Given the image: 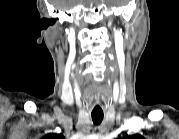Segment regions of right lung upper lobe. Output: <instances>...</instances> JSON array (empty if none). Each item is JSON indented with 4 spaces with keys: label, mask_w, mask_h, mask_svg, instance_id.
<instances>
[{
    "label": "right lung upper lobe",
    "mask_w": 179,
    "mask_h": 139,
    "mask_svg": "<svg viewBox=\"0 0 179 139\" xmlns=\"http://www.w3.org/2000/svg\"><path fill=\"white\" fill-rule=\"evenodd\" d=\"M64 136L62 134H48L43 139H63Z\"/></svg>",
    "instance_id": "right-lung-upper-lobe-1"
}]
</instances>
